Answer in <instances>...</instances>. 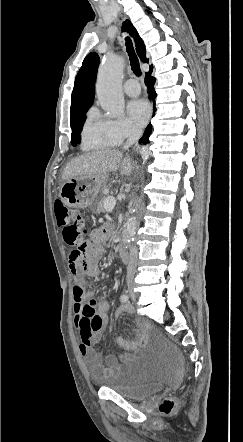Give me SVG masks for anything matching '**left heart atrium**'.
Returning a JSON list of instances; mask_svg holds the SVG:
<instances>
[{
	"label": "left heart atrium",
	"mask_w": 243,
	"mask_h": 442,
	"mask_svg": "<svg viewBox=\"0 0 243 442\" xmlns=\"http://www.w3.org/2000/svg\"><path fill=\"white\" fill-rule=\"evenodd\" d=\"M127 112L131 122L141 127L150 116V106L147 101L143 99H134L128 103Z\"/></svg>",
	"instance_id": "obj_1"
}]
</instances>
